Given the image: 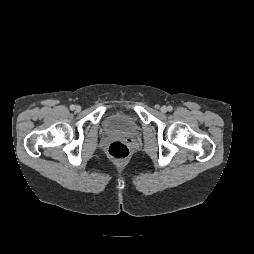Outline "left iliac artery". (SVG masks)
Wrapping results in <instances>:
<instances>
[{
  "label": "left iliac artery",
  "instance_id": "obj_1",
  "mask_svg": "<svg viewBox=\"0 0 254 254\" xmlns=\"http://www.w3.org/2000/svg\"><path fill=\"white\" fill-rule=\"evenodd\" d=\"M167 110H168V111H172V110H173V107H172V106H168V107H167Z\"/></svg>",
  "mask_w": 254,
  "mask_h": 254
}]
</instances>
